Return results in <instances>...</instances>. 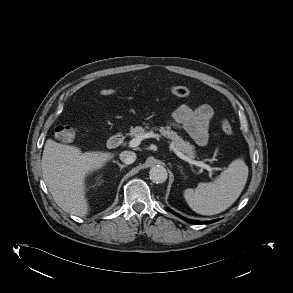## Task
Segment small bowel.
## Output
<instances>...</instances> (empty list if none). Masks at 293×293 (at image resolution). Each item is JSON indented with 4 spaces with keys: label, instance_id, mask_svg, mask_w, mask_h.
<instances>
[{
    "label": "small bowel",
    "instance_id": "c3829d8e",
    "mask_svg": "<svg viewBox=\"0 0 293 293\" xmlns=\"http://www.w3.org/2000/svg\"><path fill=\"white\" fill-rule=\"evenodd\" d=\"M214 111L208 104L192 107L183 104L176 108L169 120V124L177 129H183L199 146H205L209 139V124Z\"/></svg>",
    "mask_w": 293,
    "mask_h": 293
}]
</instances>
